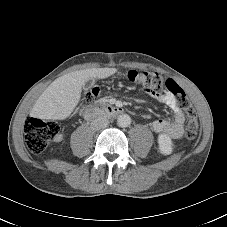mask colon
<instances>
[{"label": "colon", "instance_id": "colon-1", "mask_svg": "<svg viewBox=\"0 0 227 227\" xmlns=\"http://www.w3.org/2000/svg\"><path fill=\"white\" fill-rule=\"evenodd\" d=\"M127 80L135 85L146 89L157 90L167 89L172 94L178 107L187 113L188 121L186 126V136L193 139L197 136L199 121L195 109L190 103L184 90L173 80H164L156 72H139L131 70L126 75ZM98 88L92 89L87 94L89 101L99 95ZM59 125L56 122L44 121L38 118H29L24 125V138L27 148L34 154L43 152L49 141L59 134Z\"/></svg>", "mask_w": 227, "mask_h": 227}]
</instances>
